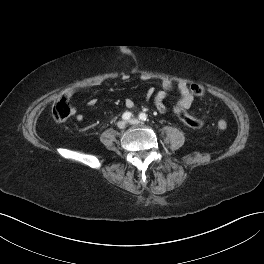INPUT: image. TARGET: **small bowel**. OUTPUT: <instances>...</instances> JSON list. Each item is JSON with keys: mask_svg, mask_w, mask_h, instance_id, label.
I'll return each instance as SVG.
<instances>
[{"mask_svg": "<svg viewBox=\"0 0 264 264\" xmlns=\"http://www.w3.org/2000/svg\"><path fill=\"white\" fill-rule=\"evenodd\" d=\"M123 80H128L129 76L128 75H124L122 77ZM143 80H147L148 77L143 76L142 77ZM98 84H92L91 87L93 86H97ZM161 85H162V89L158 92H155V89L153 87H150L147 92H146V99L147 100H153L154 105L157 109L158 112L160 113H164L166 111V105H165V99L168 95V92L172 89L173 87V83L170 79L168 78H163L161 80ZM179 94H180V100L178 105L175 108H183V109H189L194 101V96L193 94L190 92V89L187 85L186 82H179L177 85ZM83 88H77V87H73V88H69L65 91V96L70 98L72 96H74L79 90H81ZM96 104V99L95 98H91L88 100V105L93 106ZM125 104L128 108H132L134 106V101L132 99H126ZM174 108V109H175ZM77 121L81 122L83 120V116L81 114H78L76 116Z\"/></svg>", "mask_w": 264, "mask_h": 264, "instance_id": "obj_1", "label": "small bowel"}]
</instances>
